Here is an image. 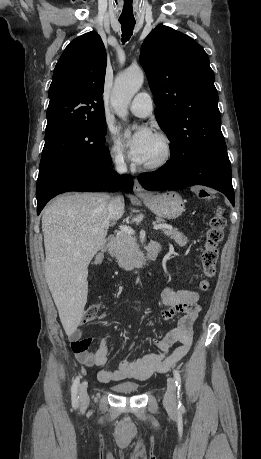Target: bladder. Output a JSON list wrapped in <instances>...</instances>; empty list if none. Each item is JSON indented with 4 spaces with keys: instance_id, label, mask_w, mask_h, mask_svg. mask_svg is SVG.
Segmentation results:
<instances>
[{
    "instance_id": "1",
    "label": "bladder",
    "mask_w": 261,
    "mask_h": 459,
    "mask_svg": "<svg viewBox=\"0 0 261 459\" xmlns=\"http://www.w3.org/2000/svg\"><path fill=\"white\" fill-rule=\"evenodd\" d=\"M113 390L122 394H133L139 391L140 386L135 382H121L113 385Z\"/></svg>"
}]
</instances>
